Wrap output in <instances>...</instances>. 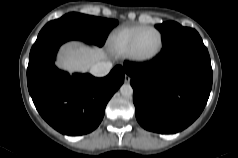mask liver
Listing matches in <instances>:
<instances>
[{
	"mask_svg": "<svg viewBox=\"0 0 238 158\" xmlns=\"http://www.w3.org/2000/svg\"><path fill=\"white\" fill-rule=\"evenodd\" d=\"M105 57L106 54L101 48L70 43L61 49L58 66L69 72H86Z\"/></svg>",
	"mask_w": 238,
	"mask_h": 158,
	"instance_id": "6515ba94",
	"label": "liver"
}]
</instances>
